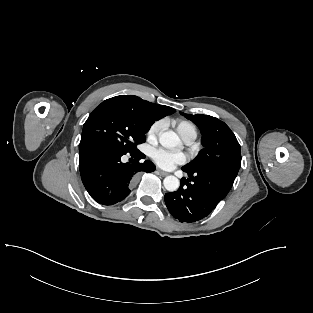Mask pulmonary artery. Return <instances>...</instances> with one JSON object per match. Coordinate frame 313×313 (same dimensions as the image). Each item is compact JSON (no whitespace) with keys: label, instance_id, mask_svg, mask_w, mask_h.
<instances>
[{"label":"pulmonary artery","instance_id":"e3ab8cb5","mask_svg":"<svg viewBox=\"0 0 313 313\" xmlns=\"http://www.w3.org/2000/svg\"><path fill=\"white\" fill-rule=\"evenodd\" d=\"M185 142H186V143H191V142H192V140H185Z\"/></svg>","mask_w":313,"mask_h":313}]
</instances>
